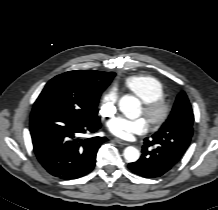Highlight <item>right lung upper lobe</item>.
I'll list each match as a JSON object with an SVG mask.
<instances>
[{
	"instance_id": "right-lung-upper-lobe-1",
	"label": "right lung upper lobe",
	"mask_w": 218,
	"mask_h": 210,
	"mask_svg": "<svg viewBox=\"0 0 218 210\" xmlns=\"http://www.w3.org/2000/svg\"><path fill=\"white\" fill-rule=\"evenodd\" d=\"M86 88H106L115 76L114 72L95 70L69 71L63 73Z\"/></svg>"
}]
</instances>
